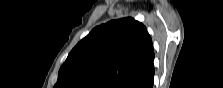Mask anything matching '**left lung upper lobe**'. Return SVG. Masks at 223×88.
I'll return each instance as SVG.
<instances>
[{
  "instance_id": "5c2ea615",
  "label": "left lung upper lobe",
  "mask_w": 223,
  "mask_h": 88,
  "mask_svg": "<svg viewBox=\"0 0 223 88\" xmlns=\"http://www.w3.org/2000/svg\"><path fill=\"white\" fill-rule=\"evenodd\" d=\"M152 40L133 18L95 27L70 52L54 88H132L154 70Z\"/></svg>"
}]
</instances>
